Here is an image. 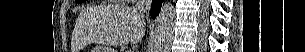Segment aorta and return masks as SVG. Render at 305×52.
Masks as SVG:
<instances>
[{"mask_svg": "<svg viewBox=\"0 0 305 52\" xmlns=\"http://www.w3.org/2000/svg\"><path fill=\"white\" fill-rule=\"evenodd\" d=\"M174 23V6L171 3H165L157 17L150 52H169L170 43L173 40Z\"/></svg>", "mask_w": 305, "mask_h": 52, "instance_id": "762f6f07", "label": "aorta"}]
</instances>
